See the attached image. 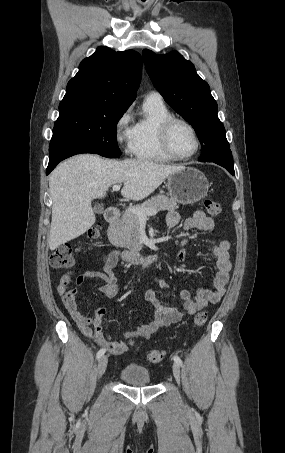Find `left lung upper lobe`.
<instances>
[{
  "label": "left lung upper lobe",
  "mask_w": 285,
  "mask_h": 453,
  "mask_svg": "<svg viewBox=\"0 0 285 453\" xmlns=\"http://www.w3.org/2000/svg\"><path fill=\"white\" fill-rule=\"evenodd\" d=\"M143 61L158 92L195 129L202 148L198 160L233 165L217 103L194 65L176 51L158 55L145 49Z\"/></svg>",
  "instance_id": "left-lung-upper-lobe-1"
}]
</instances>
